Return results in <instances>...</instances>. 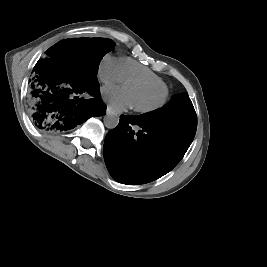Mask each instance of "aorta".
Wrapping results in <instances>:
<instances>
[{
  "mask_svg": "<svg viewBox=\"0 0 267 267\" xmlns=\"http://www.w3.org/2000/svg\"><path fill=\"white\" fill-rule=\"evenodd\" d=\"M104 125L109 128V129H113L115 128L118 123H119V116L117 114L114 113H107L104 116Z\"/></svg>",
  "mask_w": 267,
  "mask_h": 267,
  "instance_id": "aorta-1",
  "label": "aorta"
}]
</instances>
